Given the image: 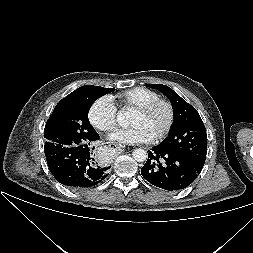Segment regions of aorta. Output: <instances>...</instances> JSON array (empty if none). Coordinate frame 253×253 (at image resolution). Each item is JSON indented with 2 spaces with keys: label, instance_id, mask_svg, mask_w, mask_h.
<instances>
[{
  "label": "aorta",
  "instance_id": "obj_1",
  "mask_svg": "<svg viewBox=\"0 0 253 253\" xmlns=\"http://www.w3.org/2000/svg\"><path fill=\"white\" fill-rule=\"evenodd\" d=\"M117 121L119 125L127 126L129 123L128 115L126 113L119 112L117 115ZM132 155L137 162H144L148 157L147 152L141 148L135 149Z\"/></svg>",
  "mask_w": 253,
  "mask_h": 253
}]
</instances>
